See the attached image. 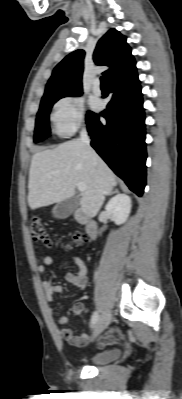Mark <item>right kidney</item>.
<instances>
[{
    "instance_id": "obj_1",
    "label": "right kidney",
    "mask_w": 182,
    "mask_h": 399,
    "mask_svg": "<svg viewBox=\"0 0 182 399\" xmlns=\"http://www.w3.org/2000/svg\"><path fill=\"white\" fill-rule=\"evenodd\" d=\"M131 198L126 194H117L109 200L105 209L117 225L126 222L131 212Z\"/></svg>"
}]
</instances>
